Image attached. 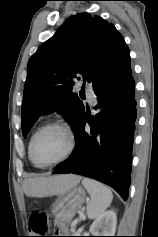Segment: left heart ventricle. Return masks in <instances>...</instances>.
<instances>
[{
  "instance_id": "left-heart-ventricle-1",
  "label": "left heart ventricle",
  "mask_w": 158,
  "mask_h": 237,
  "mask_svg": "<svg viewBox=\"0 0 158 237\" xmlns=\"http://www.w3.org/2000/svg\"><path fill=\"white\" fill-rule=\"evenodd\" d=\"M69 139L60 128L43 131L35 141L34 154L38 161L47 163L60 158L67 150Z\"/></svg>"
}]
</instances>
